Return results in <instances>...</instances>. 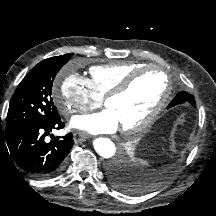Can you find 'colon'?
I'll list each match as a JSON object with an SVG mask.
<instances>
[{"mask_svg": "<svg viewBox=\"0 0 216 216\" xmlns=\"http://www.w3.org/2000/svg\"><path fill=\"white\" fill-rule=\"evenodd\" d=\"M186 118H187L186 114H182V115L177 119L176 127L178 128V127L182 126V125L185 123ZM172 149H175V145H174V144H172Z\"/></svg>", "mask_w": 216, "mask_h": 216, "instance_id": "1", "label": "colon"}]
</instances>
